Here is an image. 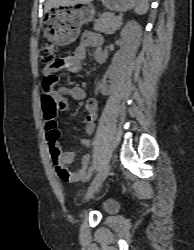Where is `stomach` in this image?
Here are the masks:
<instances>
[{"mask_svg":"<svg viewBox=\"0 0 194 250\" xmlns=\"http://www.w3.org/2000/svg\"><path fill=\"white\" fill-rule=\"evenodd\" d=\"M102 3L109 10L122 12L137 7L140 0H102ZM94 16L95 9L89 4L69 9L52 7L46 12L44 36L56 45L67 46L77 39L82 25Z\"/></svg>","mask_w":194,"mask_h":250,"instance_id":"0dacf381","label":"stomach"}]
</instances>
